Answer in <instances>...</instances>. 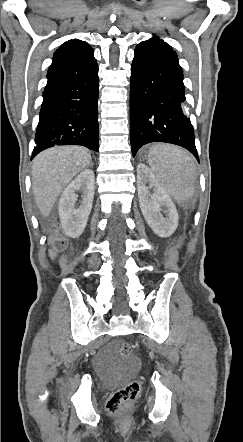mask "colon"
<instances>
[{
    "instance_id": "1",
    "label": "colon",
    "mask_w": 243,
    "mask_h": 442,
    "mask_svg": "<svg viewBox=\"0 0 243 442\" xmlns=\"http://www.w3.org/2000/svg\"><path fill=\"white\" fill-rule=\"evenodd\" d=\"M66 244V239L62 233L57 230L50 240V254H54L63 249ZM120 356L128 358L133 354V347L128 342H123L119 348ZM140 391V383L133 380L125 386L118 388L109 397L106 408L111 414L122 413L128 405L135 400Z\"/></svg>"
}]
</instances>
